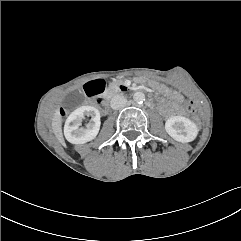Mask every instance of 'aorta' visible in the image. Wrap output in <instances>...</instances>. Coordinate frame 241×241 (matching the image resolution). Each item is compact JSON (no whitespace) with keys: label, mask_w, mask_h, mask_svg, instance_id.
<instances>
[{"label":"aorta","mask_w":241,"mask_h":241,"mask_svg":"<svg viewBox=\"0 0 241 241\" xmlns=\"http://www.w3.org/2000/svg\"><path fill=\"white\" fill-rule=\"evenodd\" d=\"M133 100L137 103H142L145 100V95L142 92H136L133 95Z\"/></svg>","instance_id":"1"}]
</instances>
